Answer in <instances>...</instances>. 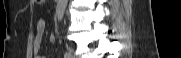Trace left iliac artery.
<instances>
[{
	"mask_svg": "<svg viewBox=\"0 0 181 58\" xmlns=\"http://www.w3.org/2000/svg\"><path fill=\"white\" fill-rule=\"evenodd\" d=\"M72 57V55H71V53H69V52H66L65 54H64V58H71Z\"/></svg>",
	"mask_w": 181,
	"mask_h": 58,
	"instance_id": "1",
	"label": "left iliac artery"
}]
</instances>
